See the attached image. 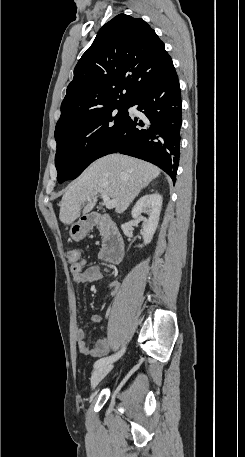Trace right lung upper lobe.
<instances>
[{"mask_svg":"<svg viewBox=\"0 0 245 457\" xmlns=\"http://www.w3.org/2000/svg\"><path fill=\"white\" fill-rule=\"evenodd\" d=\"M155 31L119 14L106 23L74 69L56 127L116 101H130L148 80L174 70Z\"/></svg>","mask_w":245,"mask_h":457,"instance_id":"cb5924a9","label":"right lung upper lobe"}]
</instances>
